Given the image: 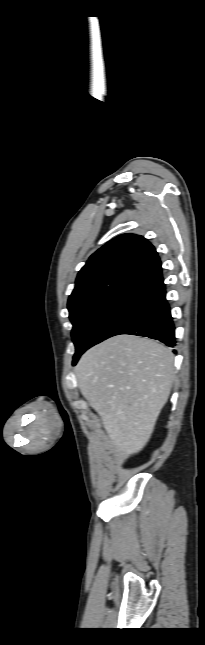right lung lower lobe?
<instances>
[{
	"label": "right lung lower lobe",
	"mask_w": 205,
	"mask_h": 645,
	"mask_svg": "<svg viewBox=\"0 0 205 645\" xmlns=\"http://www.w3.org/2000/svg\"><path fill=\"white\" fill-rule=\"evenodd\" d=\"M148 291L149 294L144 302L114 327L103 340L119 334H131L175 346V327L165 297L164 281H160Z\"/></svg>",
	"instance_id": "1"
}]
</instances>
